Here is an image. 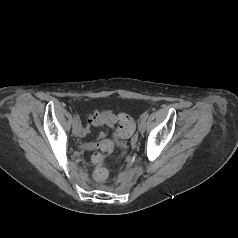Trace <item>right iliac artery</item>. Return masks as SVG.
Returning a JSON list of instances; mask_svg holds the SVG:
<instances>
[{
	"mask_svg": "<svg viewBox=\"0 0 238 238\" xmlns=\"http://www.w3.org/2000/svg\"><path fill=\"white\" fill-rule=\"evenodd\" d=\"M80 118L78 115H74V118H73V125L74 124H77L79 122Z\"/></svg>",
	"mask_w": 238,
	"mask_h": 238,
	"instance_id": "1",
	"label": "right iliac artery"
}]
</instances>
